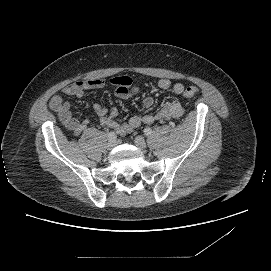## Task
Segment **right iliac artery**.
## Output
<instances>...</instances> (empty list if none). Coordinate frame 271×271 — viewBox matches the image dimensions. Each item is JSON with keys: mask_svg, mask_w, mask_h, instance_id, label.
Returning a JSON list of instances; mask_svg holds the SVG:
<instances>
[{"mask_svg": "<svg viewBox=\"0 0 271 271\" xmlns=\"http://www.w3.org/2000/svg\"><path fill=\"white\" fill-rule=\"evenodd\" d=\"M115 139H116V134L113 131L109 132L108 133V140L115 141Z\"/></svg>", "mask_w": 271, "mask_h": 271, "instance_id": "obj_1", "label": "right iliac artery"}]
</instances>
